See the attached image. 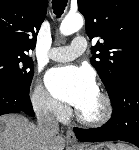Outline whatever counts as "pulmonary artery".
I'll return each mask as SVG.
<instances>
[{
	"instance_id": "e3ab8cb5",
	"label": "pulmonary artery",
	"mask_w": 139,
	"mask_h": 150,
	"mask_svg": "<svg viewBox=\"0 0 139 150\" xmlns=\"http://www.w3.org/2000/svg\"><path fill=\"white\" fill-rule=\"evenodd\" d=\"M87 47V41L84 37H76L71 45L54 47L49 52V57L58 62H67L81 55Z\"/></svg>"
}]
</instances>
